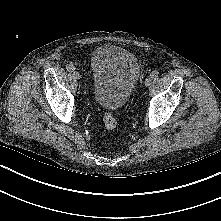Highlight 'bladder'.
<instances>
[{"mask_svg":"<svg viewBox=\"0 0 221 221\" xmlns=\"http://www.w3.org/2000/svg\"><path fill=\"white\" fill-rule=\"evenodd\" d=\"M91 94L107 110L122 108L132 96L140 78V65L125 48L104 45L91 55Z\"/></svg>","mask_w":221,"mask_h":221,"instance_id":"bladder-1","label":"bladder"}]
</instances>
